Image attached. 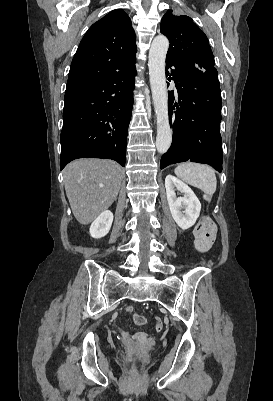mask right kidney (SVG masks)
Returning <instances> with one entry per match:
<instances>
[{
	"mask_svg": "<svg viewBox=\"0 0 273 401\" xmlns=\"http://www.w3.org/2000/svg\"><path fill=\"white\" fill-rule=\"evenodd\" d=\"M113 223V213L111 211H103L90 227V235L93 239H101L109 233Z\"/></svg>",
	"mask_w": 273,
	"mask_h": 401,
	"instance_id": "ca27d5eb",
	"label": "right kidney"
}]
</instances>
